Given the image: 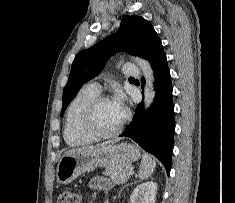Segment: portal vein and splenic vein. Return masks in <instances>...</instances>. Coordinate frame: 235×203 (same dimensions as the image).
I'll return each mask as SVG.
<instances>
[{
  "label": "portal vein and splenic vein",
  "instance_id": "obj_1",
  "mask_svg": "<svg viewBox=\"0 0 235 203\" xmlns=\"http://www.w3.org/2000/svg\"><path fill=\"white\" fill-rule=\"evenodd\" d=\"M134 171L131 169L129 172H128V175H133Z\"/></svg>",
  "mask_w": 235,
  "mask_h": 203
}]
</instances>
